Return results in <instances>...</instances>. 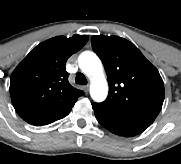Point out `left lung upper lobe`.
Wrapping results in <instances>:
<instances>
[{
    "mask_svg": "<svg viewBox=\"0 0 181 164\" xmlns=\"http://www.w3.org/2000/svg\"><path fill=\"white\" fill-rule=\"evenodd\" d=\"M92 47L102 60L109 83L101 104L152 123L165 96L162 78L130 41L117 36H92Z\"/></svg>",
    "mask_w": 181,
    "mask_h": 164,
    "instance_id": "left-lung-upper-lobe-1",
    "label": "left lung upper lobe"
}]
</instances>
